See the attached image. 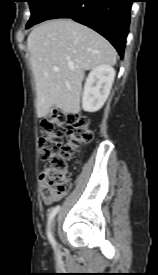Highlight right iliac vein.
I'll return each mask as SVG.
<instances>
[{
	"label": "right iliac vein",
	"instance_id": "63e3f726",
	"mask_svg": "<svg viewBox=\"0 0 158 275\" xmlns=\"http://www.w3.org/2000/svg\"><path fill=\"white\" fill-rule=\"evenodd\" d=\"M55 226V221L53 222V224H52V227H54Z\"/></svg>",
	"mask_w": 158,
	"mask_h": 275
}]
</instances>
